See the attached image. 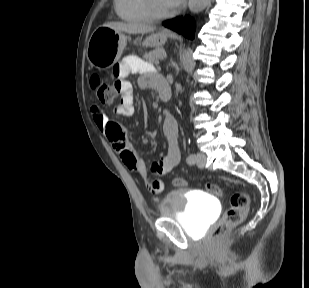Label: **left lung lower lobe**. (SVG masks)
<instances>
[{
  "mask_svg": "<svg viewBox=\"0 0 309 288\" xmlns=\"http://www.w3.org/2000/svg\"><path fill=\"white\" fill-rule=\"evenodd\" d=\"M163 25L177 31L180 34H183L188 38L192 39L194 36L193 21L189 17H186L185 19L175 18L164 22Z\"/></svg>",
  "mask_w": 309,
  "mask_h": 288,
  "instance_id": "0a47b994",
  "label": "left lung lower lobe"
}]
</instances>
